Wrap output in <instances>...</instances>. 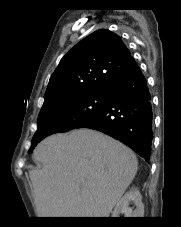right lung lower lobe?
<instances>
[{"instance_id":"98d812e1","label":"right lung lower lobe","mask_w":181,"mask_h":227,"mask_svg":"<svg viewBox=\"0 0 181 227\" xmlns=\"http://www.w3.org/2000/svg\"><path fill=\"white\" fill-rule=\"evenodd\" d=\"M108 89L105 107L83 127L120 140L149 162L153 137L151 95L135 61Z\"/></svg>"}]
</instances>
